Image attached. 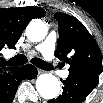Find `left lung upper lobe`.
<instances>
[{
	"mask_svg": "<svg viewBox=\"0 0 103 103\" xmlns=\"http://www.w3.org/2000/svg\"><path fill=\"white\" fill-rule=\"evenodd\" d=\"M59 25L55 56L70 65L69 74L102 73V55L95 39L75 17L56 13Z\"/></svg>",
	"mask_w": 103,
	"mask_h": 103,
	"instance_id": "obj_1",
	"label": "left lung upper lobe"
}]
</instances>
